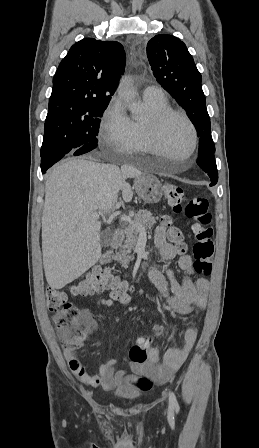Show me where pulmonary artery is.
<instances>
[{
	"label": "pulmonary artery",
	"instance_id": "obj_1",
	"mask_svg": "<svg viewBox=\"0 0 259 448\" xmlns=\"http://www.w3.org/2000/svg\"><path fill=\"white\" fill-rule=\"evenodd\" d=\"M143 95L150 98L161 99L165 97V91L161 86L153 85L146 87L143 90Z\"/></svg>",
	"mask_w": 259,
	"mask_h": 448
}]
</instances>
